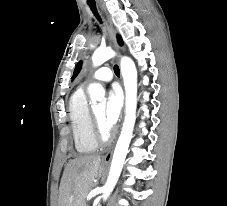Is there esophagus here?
<instances>
[{
	"label": "esophagus",
	"mask_w": 227,
	"mask_h": 206,
	"mask_svg": "<svg viewBox=\"0 0 227 206\" xmlns=\"http://www.w3.org/2000/svg\"><path fill=\"white\" fill-rule=\"evenodd\" d=\"M105 23H106L107 29L109 31V34L115 44V48L117 49V51H119V46L117 45V42H116V31H115V28L113 26V23H112L109 15L106 12H105ZM119 59H120V56H118V60ZM112 154H113V147L107 152V154L104 156L103 160L106 162L110 161Z\"/></svg>",
	"instance_id": "obj_1"
}]
</instances>
